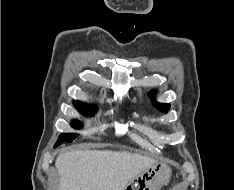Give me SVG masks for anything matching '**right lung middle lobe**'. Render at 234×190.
<instances>
[{
    "instance_id": "obj_1",
    "label": "right lung middle lobe",
    "mask_w": 234,
    "mask_h": 190,
    "mask_svg": "<svg viewBox=\"0 0 234 190\" xmlns=\"http://www.w3.org/2000/svg\"><path fill=\"white\" fill-rule=\"evenodd\" d=\"M74 105L81 113H85L86 115H90L93 112L92 108H95L80 102H74ZM71 126L75 129H80L82 127V123L78 120H72ZM75 138L76 136L74 134L62 133L59 135V138L54 147L59 146L63 142H72Z\"/></svg>"
}]
</instances>
